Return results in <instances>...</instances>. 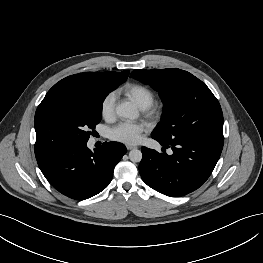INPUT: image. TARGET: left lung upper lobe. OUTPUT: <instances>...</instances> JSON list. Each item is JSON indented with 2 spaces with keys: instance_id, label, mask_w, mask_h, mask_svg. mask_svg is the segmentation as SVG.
Returning a JSON list of instances; mask_svg holds the SVG:
<instances>
[{
  "instance_id": "obj_1",
  "label": "left lung upper lobe",
  "mask_w": 263,
  "mask_h": 263,
  "mask_svg": "<svg viewBox=\"0 0 263 263\" xmlns=\"http://www.w3.org/2000/svg\"><path fill=\"white\" fill-rule=\"evenodd\" d=\"M133 77L159 92L162 121L152 133L164 142L175 138L223 136V114L210 89L180 69L134 70Z\"/></svg>"
}]
</instances>
